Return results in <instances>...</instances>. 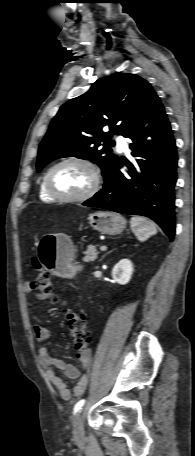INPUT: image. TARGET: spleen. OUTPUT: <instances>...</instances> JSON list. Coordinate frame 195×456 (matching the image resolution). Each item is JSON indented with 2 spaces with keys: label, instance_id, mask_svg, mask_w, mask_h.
Returning <instances> with one entry per match:
<instances>
[{
  "label": "spleen",
  "instance_id": "obj_1",
  "mask_svg": "<svg viewBox=\"0 0 195 456\" xmlns=\"http://www.w3.org/2000/svg\"><path fill=\"white\" fill-rule=\"evenodd\" d=\"M130 227L139 241H145L157 233L156 224L144 217L134 216L130 219Z\"/></svg>",
  "mask_w": 195,
  "mask_h": 456
}]
</instances>
